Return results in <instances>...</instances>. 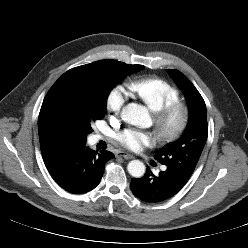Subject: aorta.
<instances>
[{"mask_svg": "<svg viewBox=\"0 0 248 248\" xmlns=\"http://www.w3.org/2000/svg\"><path fill=\"white\" fill-rule=\"evenodd\" d=\"M121 117L125 122L143 128L151 124V118L147 108L136 103H129L125 106ZM127 170L131 176L140 178L145 174L146 167L143 162L132 160L129 162Z\"/></svg>", "mask_w": 248, "mask_h": 248, "instance_id": "obj_1", "label": "aorta"}]
</instances>
